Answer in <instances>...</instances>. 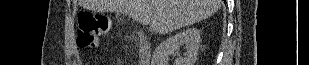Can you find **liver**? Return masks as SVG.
Wrapping results in <instances>:
<instances>
[{"label":"liver","mask_w":309,"mask_h":65,"mask_svg":"<svg viewBox=\"0 0 309 65\" xmlns=\"http://www.w3.org/2000/svg\"><path fill=\"white\" fill-rule=\"evenodd\" d=\"M94 12H123L160 34L209 18L221 0H81Z\"/></svg>","instance_id":"obj_1"}]
</instances>
